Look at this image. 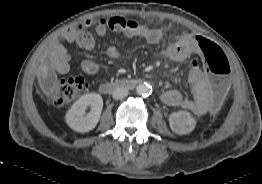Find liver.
Masks as SVG:
<instances>
[{"label":"liver","mask_w":262,"mask_h":184,"mask_svg":"<svg viewBox=\"0 0 262 184\" xmlns=\"http://www.w3.org/2000/svg\"><path fill=\"white\" fill-rule=\"evenodd\" d=\"M50 68L48 65L44 64L41 65L39 72H38V82L41 88H44L45 81L49 77Z\"/></svg>","instance_id":"6515ba94"}]
</instances>
